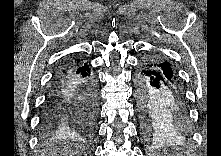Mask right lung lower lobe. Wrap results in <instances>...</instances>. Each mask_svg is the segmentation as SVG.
<instances>
[{
	"label": "right lung lower lobe",
	"mask_w": 221,
	"mask_h": 156,
	"mask_svg": "<svg viewBox=\"0 0 221 156\" xmlns=\"http://www.w3.org/2000/svg\"><path fill=\"white\" fill-rule=\"evenodd\" d=\"M98 88L84 63L59 72L50 87L41 116L49 133L75 127H93L97 117Z\"/></svg>",
	"instance_id": "obj_1"
}]
</instances>
